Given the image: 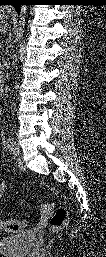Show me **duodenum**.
Wrapping results in <instances>:
<instances>
[{
  "mask_svg": "<svg viewBox=\"0 0 106 257\" xmlns=\"http://www.w3.org/2000/svg\"><path fill=\"white\" fill-rule=\"evenodd\" d=\"M0 87H2V80H0Z\"/></svg>",
  "mask_w": 106,
  "mask_h": 257,
  "instance_id": "duodenum-1",
  "label": "duodenum"
}]
</instances>
